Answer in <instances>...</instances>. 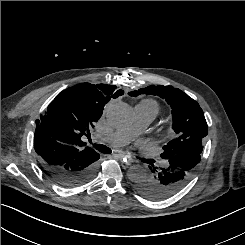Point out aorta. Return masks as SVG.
I'll return each instance as SVG.
<instances>
[{"mask_svg":"<svg viewBox=\"0 0 245 245\" xmlns=\"http://www.w3.org/2000/svg\"><path fill=\"white\" fill-rule=\"evenodd\" d=\"M105 115L109 124L115 128L127 127L133 120L132 108L123 102L110 103L106 107ZM148 176V170L139 165L130 167L128 171V178L134 183Z\"/></svg>","mask_w":245,"mask_h":245,"instance_id":"obj_1","label":"aorta"}]
</instances>
